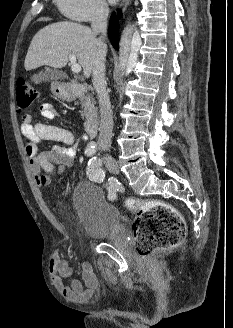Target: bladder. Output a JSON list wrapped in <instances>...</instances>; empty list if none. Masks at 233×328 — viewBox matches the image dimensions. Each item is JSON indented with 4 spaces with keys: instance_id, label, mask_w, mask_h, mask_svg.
Wrapping results in <instances>:
<instances>
[{
    "instance_id": "1",
    "label": "bladder",
    "mask_w": 233,
    "mask_h": 328,
    "mask_svg": "<svg viewBox=\"0 0 233 328\" xmlns=\"http://www.w3.org/2000/svg\"><path fill=\"white\" fill-rule=\"evenodd\" d=\"M72 206L83 232L93 239H105L121 226L118 209L103 190L90 182L78 183L72 191Z\"/></svg>"
}]
</instances>
